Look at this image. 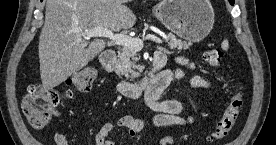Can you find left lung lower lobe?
Wrapping results in <instances>:
<instances>
[{
  "mask_svg": "<svg viewBox=\"0 0 276 145\" xmlns=\"http://www.w3.org/2000/svg\"><path fill=\"white\" fill-rule=\"evenodd\" d=\"M230 4L233 5L234 4V0H229Z\"/></svg>",
  "mask_w": 276,
  "mask_h": 145,
  "instance_id": "1",
  "label": "left lung lower lobe"
}]
</instances>
